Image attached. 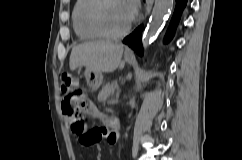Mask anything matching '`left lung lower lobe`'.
Listing matches in <instances>:
<instances>
[{
  "mask_svg": "<svg viewBox=\"0 0 242 160\" xmlns=\"http://www.w3.org/2000/svg\"><path fill=\"white\" fill-rule=\"evenodd\" d=\"M186 4H187V0H176V7L174 10L172 19L170 21L169 28L167 30L164 43H168L173 38L175 33V28L180 20L182 11L184 10ZM142 29H143V26L141 25L137 29H135L133 33H131L129 36L123 39V43L127 44L129 47L135 50L136 53L139 54L140 56H142L143 54V48L141 43Z\"/></svg>",
  "mask_w": 242,
  "mask_h": 160,
  "instance_id": "left-lung-lower-lobe-1",
  "label": "left lung lower lobe"
}]
</instances>
